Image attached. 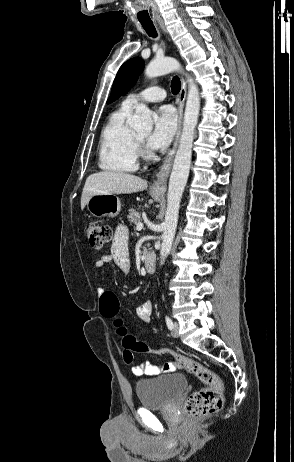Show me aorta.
Instances as JSON below:
<instances>
[{
    "label": "aorta",
    "mask_w": 294,
    "mask_h": 462,
    "mask_svg": "<svg viewBox=\"0 0 294 462\" xmlns=\"http://www.w3.org/2000/svg\"><path fill=\"white\" fill-rule=\"evenodd\" d=\"M176 70H182L179 62L174 58L165 57L152 60L146 67L145 74L148 78H154ZM187 82L189 88L184 113L183 130L169 179L167 209L163 223V234L161 237V264L164 263L166 257L170 253L175 237L178 224L180 202L190 171L194 131L197 125L200 110L198 87L193 82V79L189 76H187ZM129 124L138 132H151L153 123L151 119V111L149 108L144 104H139L136 107V112L130 120Z\"/></svg>",
    "instance_id": "762f6f07"
}]
</instances>
